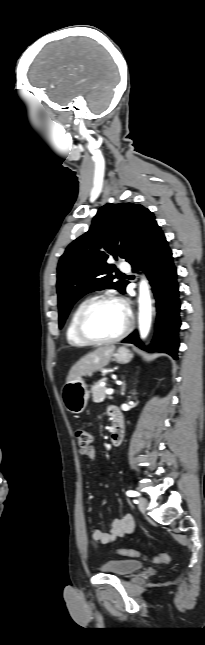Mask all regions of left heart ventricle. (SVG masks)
<instances>
[{
    "instance_id": "left-heart-ventricle-1",
    "label": "left heart ventricle",
    "mask_w": 205,
    "mask_h": 645,
    "mask_svg": "<svg viewBox=\"0 0 205 645\" xmlns=\"http://www.w3.org/2000/svg\"><path fill=\"white\" fill-rule=\"evenodd\" d=\"M126 321L119 303L105 302L94 307L87 319V329L95 337L108 338L118 334Z\"/></svg>"
}]
</instances>
